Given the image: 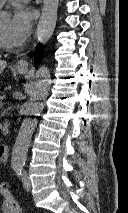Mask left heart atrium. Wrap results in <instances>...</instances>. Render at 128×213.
Instances as JSON below:
<instances>
[{
	"label": "left heart atrium",
	"instance_id": "39dd6f15",
	"mask_svg": "<svg viewBox=\"0 0 128 213\" xmlns=\"http://www.w3.org/2000/svg\"><path fill=\"white\" fill-rule=\"evenodd\" d=\"M32 14L24 6L18 5L11 20V39L15 45L23 44L31 32Z\"/></svg>",
	"mask_w": 128,
	"mask_h": 213
}]
</instances>
